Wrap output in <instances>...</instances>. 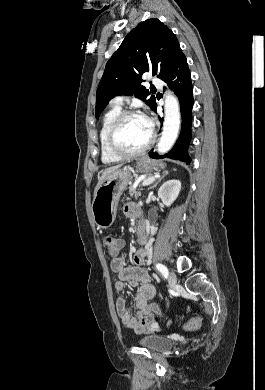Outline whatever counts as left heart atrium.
<instances>
[{"instance_id": "1", "label": "left heart atrium", "mask_w": 265, "mask_h": 390, "mask_svg": "<svg viewBox=\"0 0 265 390\" xmlns=\"http://www.w3.org/2000/svg\"><path fill=\"white\" fill-rule=\"evenodd\" d=\"M141 118H142L145 126L147 127V129L149 131H151V129H152V122H151V120L148 117H146V116H142Z\"/></svg>"}]
</instances>
